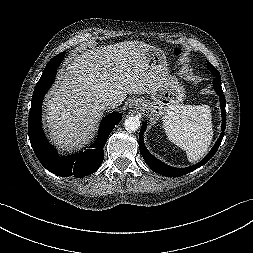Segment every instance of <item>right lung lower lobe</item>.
Masks as SVG:
<instances>
[{
	"mask_svg": "<svg viewBox=\"0 0 253 253\" xmlns=\"http://www.w3.org/2000/svg\"><path fill=\"white\" fill-rule=\"evenodd\" d=\"M65 51L55 56L46 66L38 83L36 84L28 119V134L32 148L41 164L50 172L68 177L74 175L82 178L95 172L101 165L104 157L103 147L111 131L121 119V113H111L104 117L100 123L96 141L89 146L90 149L81 154H72L60 157L56 149L47 141L41 126V106L45 93L54 82L57 68L61 64Z\"/></svg>",
	"mask_w": 253,
	"mask_h": 253,
	"instance_id": "right-lung-lower-lobe-1",
	"label": "right lung lower lobe"
}]
</instances>
